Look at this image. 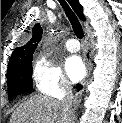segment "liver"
<instances>
[{
    "mask_svg": "<svg viewBox=\"0 0 122 123\" xmlns=\"http://www.w3.org/2000/svg\"><path fill=\"white\" fill-rule=\"evenodd\" d=\"M73 120V114H63L60 101L45 95H34L16 108L10 123H73Z\"/></svg>",
    "mask_w": 122,
    "mask_h": 123,
    "instance_id": "1",
    "label": "liver"
}]
</instances>
